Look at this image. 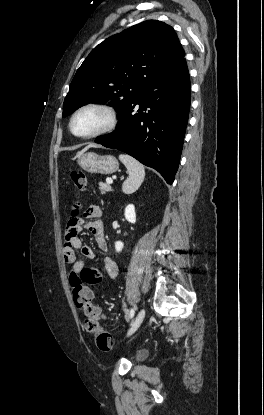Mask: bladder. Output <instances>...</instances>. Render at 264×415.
Instances as JSON below:
<instances>
[{"label": "bladder", "instance_id": "31cf9c89", "mask_svg": "<svg viewBox=\"0 0 264 415\" xmlns=\"http://www.w3.org/2000/svg\"><path fill=\"white\" fill-rule=\"evenodd\" d=\"M146 357H147V352H146V351L140 350V351H138V352L136 353V358H137L138 360H143V359H145Z\"/></svg>", "mask_w": 264, "mask_h": 415}]
</instances>
